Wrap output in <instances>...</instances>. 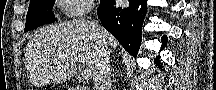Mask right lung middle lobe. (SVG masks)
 I'll list each match as a JSON object with an SVG mask.
<instances>
[{
    "instance_id": "right-lung-middle-lobe-1",
    "label": "right lung middle lobe",
    "mask_w": 216,
    "mask_h": 90,
    "mask_svg": "<svg viewBox=\"0 0 216 90\" xmlns=\"http://www.w3.org/2000/svg\"><path fill=\"white\" fill-rule=\"evenodd\" d=\"M54 0L30 1L24 31L33 30L39 26L54 22L55 16L52 12Z\"/></svg>"
}]
</instances>
